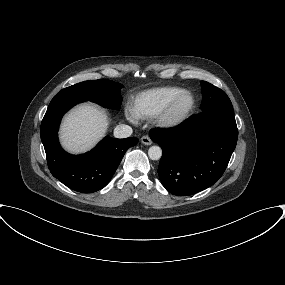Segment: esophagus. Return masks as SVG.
<instances>
[{"label":"esophagus","instance_id":"34e87169","mask_svg":"<svg viewBox=\"0 0 285 285\" xmlns=\"http://www.w3.org/2000/svg\"><path fill=\"white\" fill-rule=\"evenodd\" d=\"M141 142L144 144V145H151L152 144V140L150 139L149 136L145 135L141 138Z\"/></svg>","mask_w":285,"mask_h":285}]
</instances>
